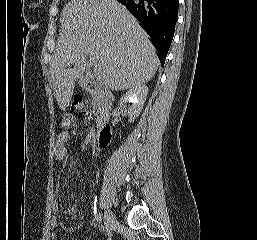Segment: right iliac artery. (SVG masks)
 <instances>
[{
    "label": "right iliac artery",
    "mask_w": 257,
    "mask_h": 240,
    "mask_svg": "<svg viewBox=\"0 0 257 240\" xmlns=\"http://www.w3.org/2000/svg\"><path fill=\"white\" fill-rule=\"evenodd\" d=\"M96 222L98 223V224H100L101 222H102V219H103V216H102V214L101 213H98L97 215H96Z\"/></svg>",
    "instance_id": "1"
}]
</instances>
